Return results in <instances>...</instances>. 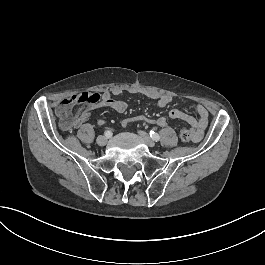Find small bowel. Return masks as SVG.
<instances>
[{"label": "small bowel", "instance_id": "small-bowel-1", "mask_svg": "<svg viewBox=\"0 0 265 265\" xmlns=\"http://www.w3.org/2000/svg\"><path fill=\"white\" fill-rule=\"evenodd\" d=\"M132 94H141L144 95L145 97L155 100L156 104L159 108H163L167 106L169 103L172 101V97L168 94H159L154 91H143L140 89H132L131 90ZM121 94L120 89H115L112 92L105 91L101 94V99L98 103L94 104L91 107L85 108L81 115L75 119L74 124L76 126H81L87 123V121L90 118V111L92 108H100V107H109L112 108L113 110L123 113L127 110L128 104L125 100L123 99H117L114 98V96ZM191 101L189 99H184L183 104H190ZM195 112H196V117L188 114L187 112L180 110V109H172L168 113V117L161 116L157 119H151L150 124L152 126H159V127H166L169 124V119L172 120H181L186 122L189 127L190 132V141L193 143H197L202 140L205 130L208 126L209 122V114L207 109L201 105V104H196L195 105ZM143 121L144 124L148 123V118L146 116H132L130 118H127L122 121V125L124 128L128 127V123L132 122H137V121ZM105 123L104 119H99L98 120V125H103Z\"/></svg>", "mask_w": 265, "mask_h": 265}]
</instances>
